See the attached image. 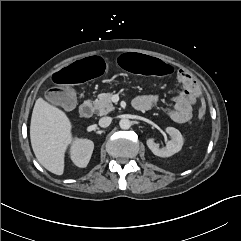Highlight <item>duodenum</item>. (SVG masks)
Returning <instances> with one entry per match:
<instances>
[{
	"label": "duodenum",
	"instance_id": "1",
	"mask_svg": "<svg viewBox=\"0 0 241 241\" xmlns=\"http://www.w3.org/2000/svg\"><path fill=\"white\" fill-rule=\"evenodd\" d=\"M133 108L139 112L146 110L144 105L141 103H134ZM92 111V104L89 101L83 102L79 107V113L83 118H90L92 116Z\"/></svg>",
	"mask_w": 241,
	"mask_h": 241
}]
</instances>
